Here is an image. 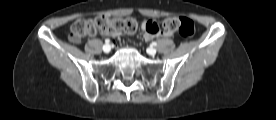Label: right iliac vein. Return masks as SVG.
I'll return each instance as SVG.
<instances>
[{"instance_id":"obj_1","label":"right iliac vein","mask_w":276,"mask_h":120,"mask_svg":"<svg viewBox=\"0 0 276 120\" xmlns=\"http://www.w3.org/2000/svg\"><path fill=\"white\" fill-rule=\"evenodd\" d=\"M110 50H111V47H110L109 44H105V45L103 46V51H104L105 53H109Z\"/></svg>"}]
</instances>
